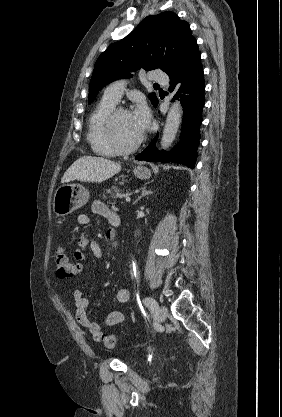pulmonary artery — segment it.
I'll return each mask as SVG.
<instances>
[{"mask_svg": "<svg viewBox=\"0 0 282 417\" xmlns=\"http://www.w3.org/2000/svg\"><path fill=\"white\" fill-rule=\"evenodd\" d=\"M152 80L153 83H168L169 77L168 74H153ZM125 86L126 82L123 80L111 83L105 89L104 97L111 101L118 102Z\"/></svg>", "mask_w": 282, "mask_h": 417, "instance_id": "e3ab8cb5", "label": "pulmonary artery"}]
</instances>
